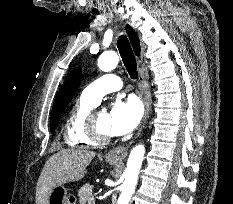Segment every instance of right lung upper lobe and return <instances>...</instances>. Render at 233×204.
<instances>
[{
  "mask_svg": "<svg viewBox=\"0 0 233 204\" xmlns=\"http://www.w3.org/2000/svg\"><path fill=\"white\" fill-rule=\"evenodd\" d=\"M126 32L132 42L133 49L136 53L137 56H139L141 48H140V43H139V38L137 33L129 26H126Z\"/></svg>",
  "mask_w": 233,
  "mask_h": 204,
  "instance_id": "right-lung-upper-lobe-1",
  "label": "right lung upper lobe"
}]
</instances>
